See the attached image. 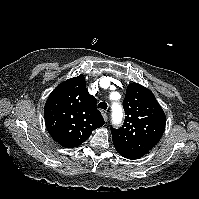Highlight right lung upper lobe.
<instances>
[{
	"label": "right lung upper lobe",
	"mask_w": 199,
	"mask_h": 199,
	"mask_svg": "<svg viewBox=\"0 0 199 199\" xmlns=\"http://www.w3.org/2000/svg\"><path fill=\"white\" fill-rule=\"evenodd\" d=\"M97 100L86 89L83 75L60 83L48 97L44 117L51 137L65 148L85 142L92 131L104 125Z\"/></svg>",
	"instance_id": "obj_1"
}]
</instances>
